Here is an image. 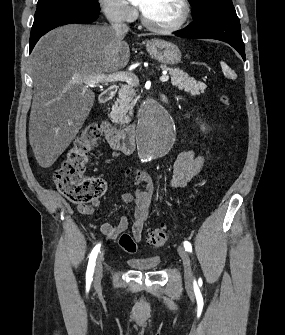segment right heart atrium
Masks as SVG:
<instances>
[{"instance_id": "obj_1", "label": "right heart atrium", "mask_w": 285, "mask_h": 335, "mask_svg": "<svg viewBox=\"0 0 285 335\" xmlns=\"http://www.w3.org/2000/svg\"><path fill=\"white\" fill-rule=\"evenodd\" d=\"M102 10L106 19L113 24L132 23L137 18L133 1H102Z\"/></svg>"}]
</instances>
